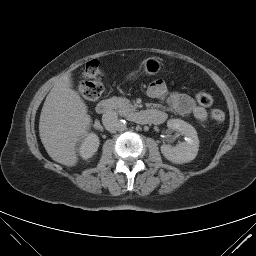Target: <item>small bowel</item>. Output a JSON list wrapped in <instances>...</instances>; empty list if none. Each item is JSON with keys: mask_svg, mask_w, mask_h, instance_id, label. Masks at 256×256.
<instances>
[{"mask_svg": "<svg viewBox=\"0 0 256 256\" xmlns=\"http://www.w3.org/2000/svg\"><path fill=\"white\" fill-rule=\"evenodd\" d=\"M147 95L151 98L165 100L167 104L180 115H191L200 122L207 120L208 112L204 107L198 105L186 94L169 92L166 84L162 80L151 82L147 88ZM152 111L158 114L160 118L159 123L165 120L166 115L163 111L159 109H153Z\"/></svg>", "mask_w": 256, "mask_h": 256, "instance_id": "obj_1", "label": "small bowel"}]
</instances>
